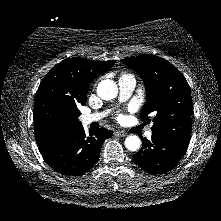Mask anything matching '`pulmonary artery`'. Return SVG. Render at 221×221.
Returning <instances> with one entry per match:
<instances>
[{
    "mask_svg": "<svg viewBox=\"0 0 221 221\" xmlns=\"http://www.w3.org/2000/svg\"><path fill=\"white\" fill-rule=\"evenodd\" d=\"M118 84H119V91H120V94H119L120 101H125L131 96V94L133 93V91L135 89V86H136L135 78L131 75L122 76L119 79ZM108 113H109V110L85 114L81 117V121L84 125H88L92 122H97V121L101 120ZM145 136L147 138H151L152 131L151 130L146 131Z\"/></svg>",
    "mask_w": 221,
    "mask_h": 221,
    "instance_id": "pulmonary-artery-1",
    "label": "pulmonary artery"
}]
</instances>
